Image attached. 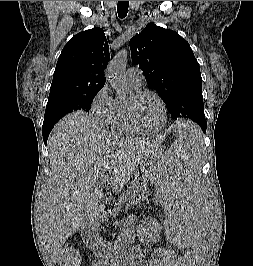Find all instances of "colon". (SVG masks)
Returning a JSON list of instances; mask_svg holds the SVG:
<instances>
[{
    "label": "colon",
    "instance_id": "5ec220e1",
    "mask_svg": "<svg viewBox=\"0 0 253 266\" xmlns=\"http://www.w3.org/2000/svg\"><path fill=\"white\" fill-rule=\"evenodd\" d=\"M205 249V242H202L201 248H191L181 260V266H197ZM80 261L79 251L75 247H68L61 253L58 264L59 266H79Z\"/></svg>",
    "mask_w": 253,
    "mask_h": 266
}]
</instances>
